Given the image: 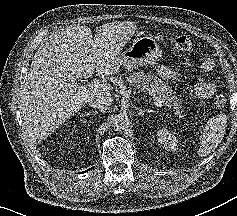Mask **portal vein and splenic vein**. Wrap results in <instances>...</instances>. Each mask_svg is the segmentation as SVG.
<instances>
[{
    "instance_id": "portal-vein-and-splenic-vein-1",
    "label": "portal vein and splenic vein",
    "mask_w": 237,
    "mask_h": 216,
    "mask_svg": "<svg viewBox=\"0 0 237 216\" xmlns=\"http://www.w3.org/2000/svg\"><path fill=\"white\" fill-rule=\"evenodd\" d=\"M92 83H95V82H92ZM98 86H99V85L96 83V84H95V87H98Z\"/></svg>"
}]
</instances>
